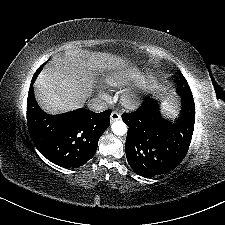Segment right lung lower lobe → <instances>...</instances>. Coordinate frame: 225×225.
<instances>
[{
  "label": "right lung lower lobe",
  "mask_w": 225,
  "mask_h": 225,
  "mask_svg": "<svg viewBox=\"0 0 225 225\" xmlns=\"http://www.w3.org/2000/svg\"><path fill=\"white\" fill-rule=\"evenodd\" d=\"M32 90V88H31ZM110 113H93L84 108L48 115L34 100H27L29 134L37 149L48 160L65 168H76L90 160L98 140L110 124Z\"/></svg>",
  "instance_id": "98d812e1"
}]
</instances>
